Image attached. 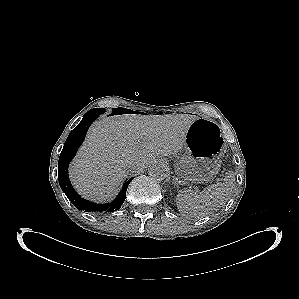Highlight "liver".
<instances>
[{"mask_svg":"<svg viewBox=\"0 0 299 299\" xmlns=\"http://www.w3.org/2000/svg\"><path fill=\"white\" fill-rule=\"evenodd\" d=\"M196 119L186 114H127L96 121L70 165L72 184L86 199H112L124 179L141 172L156 156L178 153Z\"/></svg>","mask_w":299,"mask_h":299,"instance_id":"obj_1","label":"liver"}]
</instances>
